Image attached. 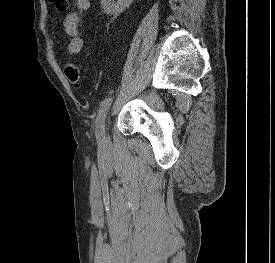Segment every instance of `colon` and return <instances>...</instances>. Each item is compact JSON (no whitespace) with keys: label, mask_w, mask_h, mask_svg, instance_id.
<instances>
[{"label":"colon","mask_w":275,"mask_h":263,"mask_svg":"<svg viewBox=\"0 0 275 263\" xmlns=\"http://www.w3.org/2000/svg\"><path fill=\"white\" fill-rule=\"evenodd\" d=\"M50 2L53 4V7L57 12H65L68 9L69 0H50ZM64 73L71 84L76 87L82 86L83 77L79 67L75 63H66Z\"/></svg>","instance_id":"5ec220e1"}]
</instances>
